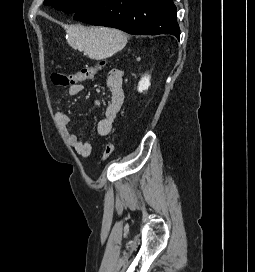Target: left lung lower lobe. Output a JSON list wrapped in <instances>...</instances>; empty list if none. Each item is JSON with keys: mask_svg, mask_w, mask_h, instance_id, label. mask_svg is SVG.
<instances>
[{"mask_svg": "<svg viewBox=\"0 0 255 272\" xmlns=\"http://www.w3.org/2000/svg\"><path fill=\"white\" fill-rule=\"evenodd\" d=\"M73 19L136 35L171 34L179 39L176 6L172 0H95Z\"/></svg>", "mask_w": 255, "mask_h": 272, "instance_id": "0a47b994", "label": "left lung lower lobe"}]
</instances>
